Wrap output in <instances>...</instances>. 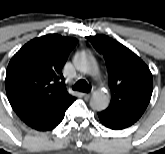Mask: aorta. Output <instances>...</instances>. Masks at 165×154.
Masks as SVG:
<instances>
[{
	"mask_svg": "<svg viewBox=\"0 0 165 154\" xmlns=\"http://www.w3.org/2000/svg\"><path fill=\"white\" fill-rule=\"evenodd\" d=\"M74 64L80 72L90 75H96L99 73L96 60L88 53H77L74 57ZM109 103V95L102 90L95 91L90 100V106L97 111L105 110L109 106Z\"/></svg>",
	"mask_w": 165,
	"mask_h": 154,
	"instance_id": "aorta-1",
	"label": "aorta"
}]
</instances>
